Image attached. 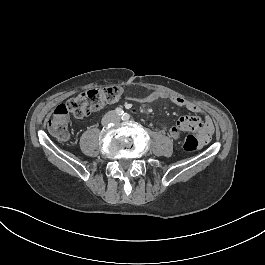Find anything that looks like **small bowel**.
Returning a JSON list of instances; mask_svg holds the SVG:
<instances>
[{"mask_svg": "<svg viewBox=\"0 0 265 265\" xmlns=\"http://www.w3.org/2000/svg\"><path fill=\"white\" fill-rule=\"evenodd\" d=\"M125 98L136 103H151L158 100H167L173 105L186 109L192 115L180 117L170 127L169 137L176 140L180 137L182 131H195L199 135L202 144H207L210 141L214 131L213 122L204 109L196 103L180 96L170 95L164 91H153L145 96L125 95Z\"/></svg>", "mask_w": 265, "mask_h": 265, "instance_id": "small-bowel-1", "label": "small bowel"}]
</instances>
